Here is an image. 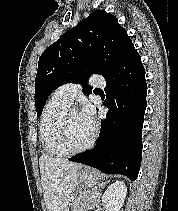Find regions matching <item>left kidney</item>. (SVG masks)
<instances>
[{
	"instance_id": "1",
	"label": "left kidney",
	"mask_w": 178,
	"mask_h": 211,
	"mask_svg": "<svg viewBox=\"0 0 178 211\" xmlns=\"http://www.w3.org/2000/svg\"><path fill=\"white\" fill-rule=\"evenodd\" d=\"M127 188L124 182L112 183L102 196V204L107 211H119L126 198Z\"/></svg>"
}]
</instances>
